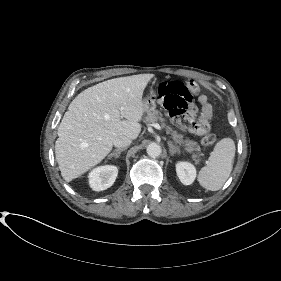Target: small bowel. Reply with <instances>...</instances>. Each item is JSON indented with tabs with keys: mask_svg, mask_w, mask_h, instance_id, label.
<instances>
[{
	"mask_svg": "<svg viewBox=\"0 0 281 281\" xmlns=\"http://www.w3.org/2000/svg\"><path fill=\"white\" fill-rule=\"evenodd\" d=\"M198 102L201 106V112L199 115V119L194 122L190 127V132L194 133L196 135H202L204 134L210 125V120L212 118V107L210 103L208 102V99L205 95H200L198 98ZM191 112L193 114L196 113V109H192ZM178 125H180L179 122H177Z\"/></svg>",
	"mask_w": 281,
	"mask_h": 281,
	"instance_id": "c3829d8e",
	"label": "small bowel"
}]
</instances>
